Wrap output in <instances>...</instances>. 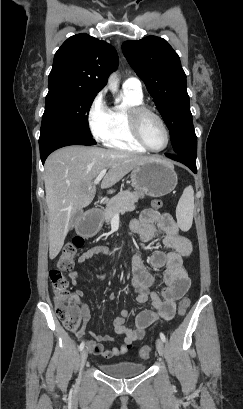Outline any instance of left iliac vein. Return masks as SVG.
Returning a JSON list of instances; mask_svg holds the SVG:
<instances>
[{
    "label": "left iliac vein",
    "instance_id": "obj_1",
    "mask_svg": "<svg viewBox=\"0 0 243 409\" xmlns=\"http://www.w3.org/2000/svg\"><path fill=\"white\" fill-rule=\"evenodd\" d=\"M156 349H157L159 355H161V356L164 355L165 347H164L163 341L160 338H158L156 340Z\"/></svg>",
    "mask_w": 243,
    "mask_h": 409
}]
</instances>
